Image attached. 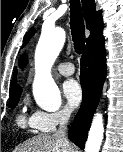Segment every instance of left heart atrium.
Masks as SVG:
<instances>
[{"label": "left heart atrium", "mask_w": 123, "mask_h": 152, "mask_svg": "<svg viewBox=\"0 0 123 152\" xmlns=\"http://www.w3.org/2000/svg\"><path fill=\"white\" fill-rule=\"evenodd\" d=\"M63 95L68 106L71 108H76L82 101V88L76 80L69 79L63 84Z\"/></svg>", "instance_id": "1"}]
</instances>
